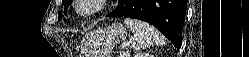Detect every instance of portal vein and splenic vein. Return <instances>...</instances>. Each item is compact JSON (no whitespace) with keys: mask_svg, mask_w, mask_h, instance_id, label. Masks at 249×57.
Returning a JSON list of instances; mask_svg holds the SVG:
<instances>
[{"mask_svg":"<svg viewBox=\"0 0 249 57\" xmlns=\"http://www.w3.org/2000/svg\"><path fill=\"white\" fill-rule=\"evenodd\" d=\"M131 43H132V41H130L129 43H127V44L125 45V47H126V46H129ZM125 56H126V53H125L124 51L120 52V57H125Z\"/></svg>","mask_w":249,"mask_h":57,"instance_id":"18ae733b","label":"portal vein and splenic vein"}]
</instances>
